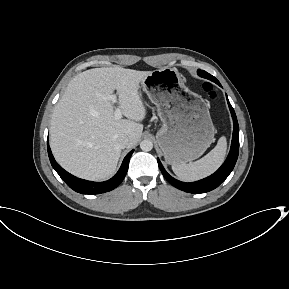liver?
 Listing matches in <instances>:
<instances>
[{"mask_svg":"<svg viewBox=\"0 0 289 289\" xmlns=\"http://www.w3.org/2000/svg\"><path fill=\"white\" fill-rule=\"evenodd\" d=\"M150 73L103 67L86 70L70 81L50 125L51 149L63 168L88 180H104L115 172L121 154L118 138L128 137V148L141 138L146 109L139 84ZM114 90L127 119L115 118L110 99Z\"/></svg>","mask_w":289,"mask_h":289,"instance_id":"obj_1","label":"liver"}]
</instances>
